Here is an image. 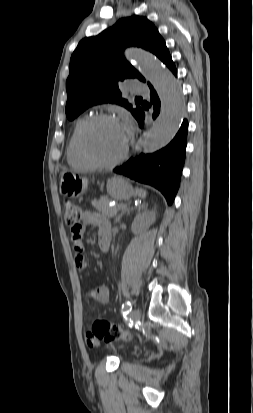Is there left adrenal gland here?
<instances>
[{
	"label": "left adrenal gland",
	"mask_w": 253,
	"mask_h": 413,
	"mask_svg": "<svg viewBox=\"0 0 253 413\" xmlns=\"http://www.w3.org/2000/svg\"><path fill=\"white\" fill-rule=\"evenodd\" d=\"M126 212H129V209L123 210V211L121 212V214L116 218L115 223H118V222L120 221L121 217H122Z\"/></svg>",
	"instance_id": "a2214340"
}]
</instances>
